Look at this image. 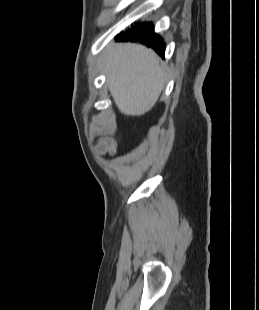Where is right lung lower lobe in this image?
Listing matches in <instances>:
<instances>
[{
    "instance_id": "obj_1",
    "label": "right lung lower lobe",
    "mask_w": 259,
    "mask_h": 310,
    "mask_svg": "<svg viewBox=\"0 0 259 310\" xmlns=\"http://www.w3.org/2000/svg\"><path fill=\"white\" fill-rule=\"evenodd\" d=\"M116 40L140 42L147 47L153 48L160 56H164L165 42L159 35L154 33L152 23H141L126 30V32H121L116 36Z\"/></svg>"
}]
</instances>
